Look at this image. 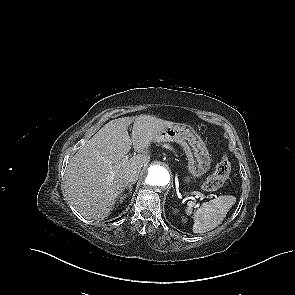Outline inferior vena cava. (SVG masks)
Here are the masks:
<instances>
[{
    "label": "inferior vena cava",
    "mask_w": 295,
    "mask_h": 295,
    "mask_svg": "<svg viewBox=\"0 0 295 295\" xmlns=\"http://www.w3.org/2000/svg\"><path fill=\"white\" fill-rule=\"evenodd\" d=\"M138 175L139 173L136 170H131L127 173V180L129 182H136V180L138 179Z\"/></svg>",
    "instance_id": "obj_1"
}]
</instances>
